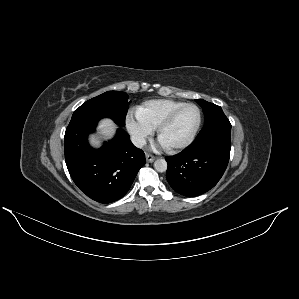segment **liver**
<instances>
[{"mask_svg":"<svg viewBox=\"0 0 299 299\" xmlns=\"http://www.w3.org/2000/svg\"><path fill=\"white\" fill-rule=\"evenodd\" d=\"M116 129V125L114 122L110 119H103L100 121L98 125V133L104 138V139H110L114 136ZM90 143L92 146L98 147L100 146V140L96 135L90 136Z\"/></svg>","mask_w":299,"mask_h":299,"instance_id":"obj_1","label":"liver"}]
</instances>
